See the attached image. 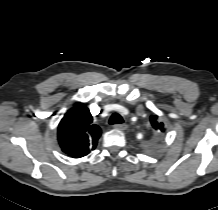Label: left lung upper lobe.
<instances>
[{
	"mask_svg": "<svg viewBox=\"0 0 218 210\" xmlns=\"http://www.w3.org/2000/svg\"><path fill=\"white\" fill-rule=\"evenodd\" d=\"M157 118L158 117L156 115L150 117L151 125L155 130H159V131L163 132L164 131V125H163V123H159L157 121Z\"/></svg>",
	"mask_w": 218,
	"mask_h": 210,
	"instance_id": "left-lung-upper-lobe-1",
	"label": "left lung upper lobe"
}]
</instances>
